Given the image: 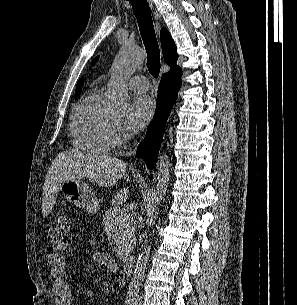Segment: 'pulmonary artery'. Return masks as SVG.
<instances>
[{"instance_id":"1","label":"pulmonary artery","mask_w":297,"mask_h":305,"mask_svg":"<svg viewBox=\"0 0 297 305\" xmlns=\"http://www.w3.org/2000/svg\"><path fill=\"white\" fill-rule=\"evenodd\" d=\"M129 88L135 92H146L148 90V81L146 77L136 75L132 76L127 82Z\"/></svg>"}]
</instances>
